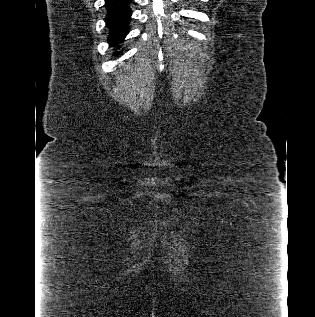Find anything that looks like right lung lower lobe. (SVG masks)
Returning <instances> with one entry per match:
<instances>
[{"label":"right lung lower lobe","mask_w":315,"mask_h":317,"mask_svg":"<svg viewBox=\"0 0 315 317\" xmlns=\"http://www.w3.org/2000/svg\"><path fill=\"white\" fill-rule=\"evenodd\" d=\"M132 0H105L107 16L106 27L110 30L108 42L112 46L120 44L129 32V22L132 15L130 4ZM116 54H119L117 52Z\"/></svg>","instance_id":"right-lung-lower-lobe-1"}]
</instances>
